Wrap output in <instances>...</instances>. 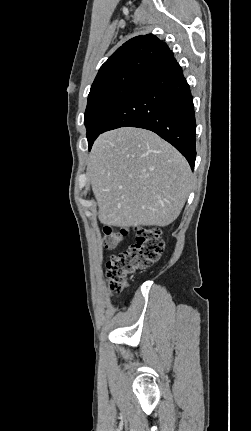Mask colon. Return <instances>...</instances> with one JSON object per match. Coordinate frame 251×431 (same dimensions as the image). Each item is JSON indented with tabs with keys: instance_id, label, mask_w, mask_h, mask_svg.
I'll return each instance as SVG.
<instances>
[{
	"instance_id": "colon-1",
	"label": "colon",
	"mask_w": 251,
	"mask_h": 431,
	"mask_svg": "<svg viewBox=\"0 0 251 431\" xmlns=\"http://www.w3.org/2000/svg\"><path fill=\"white\" fill-rule=\"evenodd\" d=\"M127 231H115L104 228L103 243L106 248L116 247L126 236ZM164 250L159 228L138 230L136 242L118 255H114L107 263L106 276L112 292L124 289L128 276L138 270H144L157 262Z\"/></svg>"
}]
</instances>
